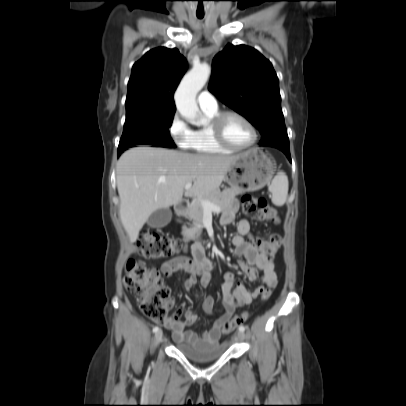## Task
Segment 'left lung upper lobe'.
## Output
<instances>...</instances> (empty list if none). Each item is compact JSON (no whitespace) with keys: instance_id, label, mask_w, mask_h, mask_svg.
Segmentation results:
<instances>
[{"instance_id":"1","label":"left lung upper lobe","mask_w":406,"mask_h":406,"mask_svg":"<svg viewBox=\"0 0 406 406\" xmlns=\"http://www.w3.org/2000/svg\"><path fill=\"white\" fill-rule=\"evenodd\" d=\"M209 90L260 131V145L289 147L278 78L257 50L228 44L213 59Z\"/></svg>"}]
</instances>
